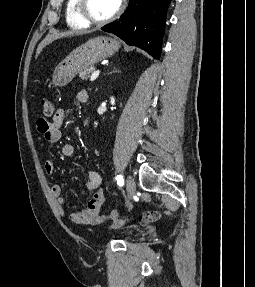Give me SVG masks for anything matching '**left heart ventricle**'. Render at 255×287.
I'll return each instance as SVG.
<instances>
[{
  "mask_svg": "<svg viewBox=\"0 0 255 287\" xmlns=\"http://www.w3.org/2000/svg\"><path fill=\"white\" fill-rule=\"evenodd\" d=\"M95 33H122V32H95ZM95 39H123V38H95ZM92 48H131V47H92Z\"/></svg>",
  "mask_w": 255,
  "mask_h": 287,
  "instance_id": "b2bd125f",
  "label": "left heart ventricle"
}]
</instances>
